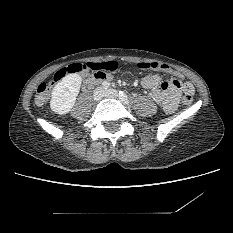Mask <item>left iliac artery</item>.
I'll return each mask as SVG.
<instances>
[{
    "label": "left iliac artery",
    "mask_w": 233,
    "mask_h": 233,
    "mask_svg": "<svg viewBox=\"0 0 233 233\" xmlns=\"http://www.w3.org/2000/svg\"><path fill=\"white\" fill-rule=\"evenodd\" d=\"M119 98L125 103L129 102L127 95L123 91H119Z\"/></svg>",
    "instance_id": "left-iliac-artery-1"
}]
</instances>
